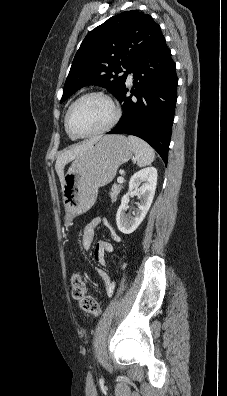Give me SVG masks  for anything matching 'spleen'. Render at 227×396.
<instances>
[{"mask_svg": "<svg viewBox=\"0 0 227 396\" xmlns=\"http://www.w3.org/2000/svg\"><path fill=\"white\" fill-rule=\"evenodd\" d=\"M135 154V160L139 167L150 165L155 158L154 150L145 141L135 136H128Z\"/></svg>", "mask_w": 227, "mask_h": 396, "instance_id": "obj_1", "label": "spleen"}]
</instances>
